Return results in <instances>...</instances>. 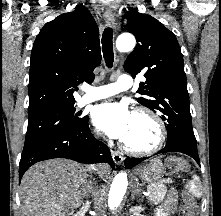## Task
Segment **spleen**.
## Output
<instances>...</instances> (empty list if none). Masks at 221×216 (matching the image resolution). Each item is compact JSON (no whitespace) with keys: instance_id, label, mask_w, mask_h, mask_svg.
Instances as JSON below:
<instances>
[{"instance_id":"3e777b00","label":"spleen","mask_w":221,"mask_h":216,"mask_svg":"<svg viewBox=\"0 0 221 216\" xmlns=\"http://www.w3.org/2000/svg\"><path fill=\"white\" fill-rule=\"evenodd\" d=\"M189 191H191L192 194L196 197L201 196L200 188H199V177L198 176L193 177V181H191V183L189 184Z\"/></svg>"}]
</instances>
